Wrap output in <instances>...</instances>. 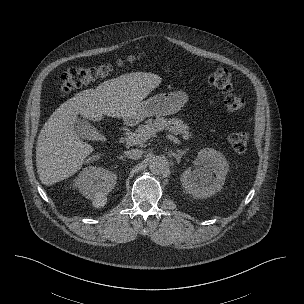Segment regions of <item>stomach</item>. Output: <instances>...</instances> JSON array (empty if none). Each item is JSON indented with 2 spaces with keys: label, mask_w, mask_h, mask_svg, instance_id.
Here are the masks:
<instances>
[{
  "label": "stomach",
  "mask_w": 304,
  "mask_h": 304,
  "mask_svg": "<svg viewBox=\"0 0 304 304\" xmlns=\"http://www.w3.org/2000/svg\"><path fill=\"white\" fill-rule=\"evenodd\" d=\"M188 101L184 91L164 92L143 100L136 108L135 121H141L149 116H166L177 113Z\"/></svg>",
  "instance_id": "obj_1"
}]
</instances>
